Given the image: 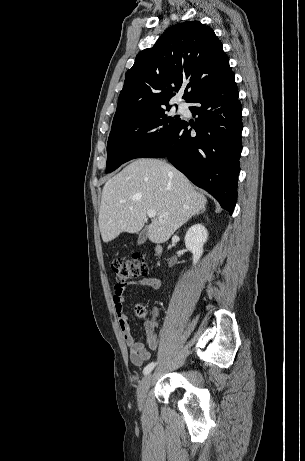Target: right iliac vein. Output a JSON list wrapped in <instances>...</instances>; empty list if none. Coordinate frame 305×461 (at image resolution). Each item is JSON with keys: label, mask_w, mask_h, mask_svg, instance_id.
Listing matches in <instances>:
<instances>
[{"label": "right iliac vein", "mask_w": 305, "mask_h": 461, "mask_svg": "<svg viewBox=\"0 0 305 461\" xmlns=\"http://www.w3.org/2000/svg\"><path fill=\"white\" fill-rule=\"evenodd\" d=\"M152 375L147 374L139 384L137 389V401L139 406H142L145 402L147 391L151 385Z\"/></svg>", "instance_id": "obj_1"}]
</instances>
